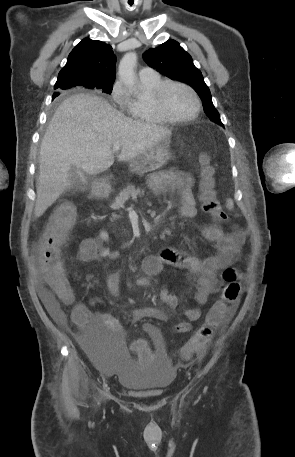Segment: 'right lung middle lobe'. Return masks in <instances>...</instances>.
Here are the masks:
<instances>
[{"label":"right lung middle lobe","mask_w":295,"mask_h":457,"mask_svg":"<svg viewBox=\"0 0 295 457\" xmlns=\"http://www.w3.org/2000/svg\"><path fill=\"white\" fill-rule=\"evenodd\" d=\"M79 85H81V84H74V85H70L69 87H75V86H79ZM93 89H100V90H102V92L110 94L112 92V89H113V84L104 85V86H96Z\"/></svg>","instance_id":"1"}]
</instances>
